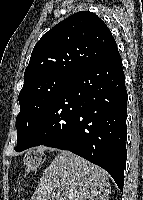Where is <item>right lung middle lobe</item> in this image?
<instances>
[{
  "mask_svg": "<svg viewBox=\"0 0 143 200\" xmlns=\"http://www.w3.org/2000/svg\"><path fill=\"white\" fill-rule=\"evenodd\" d=\"M71 76L51 75L23 86L19 93L20 113L16 118L17 146H22L34 125L55 100Z\"/></svg>",
  "mask_w": 143,
  "mask_h": 200,
  "instance_id": "right-lung-middle-lobe-1",
  "label": "right lung middle lobe"
}]
</instances>
